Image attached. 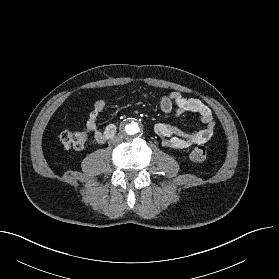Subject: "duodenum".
Returning <instances> with one entry per match:
<instances>
[{
  "mask_svg": "<svg viewBox=\"0 0 279 279\" xmlns=\"http://www.w3.org/2000/svg\"><path fill=\"white\" fill-rule=\"evenodd\" d=\"M115 133H116V125L115 124L109 125L105 131V139L108 140L112 138L115 135Z\"/></svg>",
  "mask_w": 279,
  "mask_h": 279,
  "instance_id": "410a0bca",
  "label": "duodenum"
}]
</instances>
